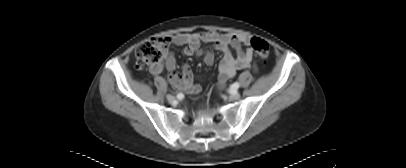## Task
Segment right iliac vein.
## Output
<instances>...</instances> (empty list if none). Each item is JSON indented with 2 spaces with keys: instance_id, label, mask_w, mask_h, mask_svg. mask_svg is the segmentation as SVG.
<instances>
[{
  "instance_id": "1",
  "label": "right iliac vein",
  "mask_w": 406,
  "mask_h": 168,
  "mask_svg": "<svg viewBox=\"0 0 406 168\" xmlns=\"http://www.w3.org/2000/svg\"><path fill=\"white\" fill-rule=\"evenodd\" d=\"M167 100H168L169 102H174V101H175V97H174L173 95L168 94V95H167Z\"/></svg>"
}]
</instances>
